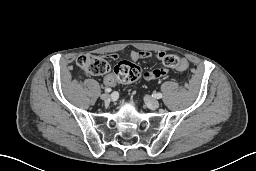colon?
Listing matches in <instances>:
<instances>
[{"label":"colon","mask_w":256,"mask_h":171,"mask_svg":"<svg viewBox=\"0 0 256 171\" xmlns=\"http://www.w3.org/2000/svg\"><path fill=\"white\" fill-rule=\"evenodd\" d=\"M162 63L169 68L181 69L185 62L177 55H166ZM77 65L86 73L91 75H103L109 72L110 65L102 56L83 54L77 58ZM117 78L122 82H133L142 77V69L130 61H122L115 67Z\"/></svg>","instance_id":"obj_1"}]
</instances>
